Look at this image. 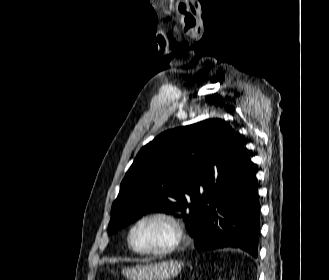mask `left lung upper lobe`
Returning a JSON list of instances; mask_svg holds the SVG:
<instances>
[{
    "label": "left lung upper lobe",
    "mask_w": 329,
    "mask_h": 280,
    "mask_svg": "<svg viewBox=\"0 0 329 280\" xmlns=\"http://www.w3.org/2000/svg\"><path fill=\"white\" fill-rule=\"evenodd\" d=\"M242 148L239 135L217 118L161 133L125 174L112 205L109 235L151 210L184 213L195 235L203 201L232 180Z\"/></svg>",
    "instance_id": "obj_1"
}]
</instances>
